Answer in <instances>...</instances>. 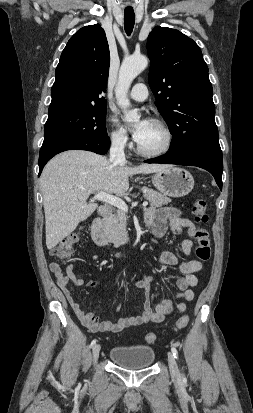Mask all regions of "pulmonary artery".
Instances as JSON below:
<instances>
[{
  "label": "pulmonary artery",
  "mask_w": 253,
  "mask_h": 413,
  "mask_svg": "<svg viewBox=\"0 0 253 413\" xmlns=\"http://www.w3.org/2000/svg\"><path fill=\"white\" fill-rule=\"evenodd\" d=\"M129 97L138 102L145 101L148 97V89L146 85L143 83L135 84L129 93Z\"/></svg>",
  "instance_id": "1"
}]
</instances>
